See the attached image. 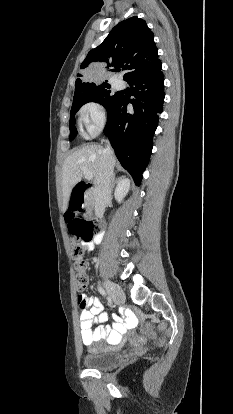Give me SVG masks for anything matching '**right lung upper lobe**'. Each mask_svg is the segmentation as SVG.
<instances>
[{
    "label": "right lung upper lobe",
    "mask_w": 233,
    "mask_h": 414,
    "mask_svg": "<svg viewBox=\"0 0 233 414\" xmlns=\"http://www.w3.org/2000/svg\"><path fill=\"white\" fill-rule=\"evenodd\" d=\"M99 64H106V68H112L111 71L123 68L127 71L124 75L126 81L158 70L161 61L153 33L145 20L134 16L116 25L106 39L88 53L80 66L84 71L78 76L90 79L94 66ZM103 84L106 82H86L78 78L74 98Z\"/></svg>",
    "instance_id": "obj_1"
}]
</instances>
